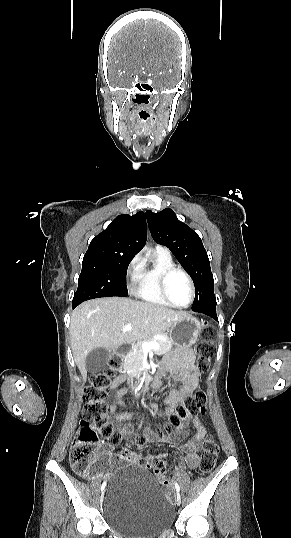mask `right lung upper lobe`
<instances>
[{
  "mask_svg": "<svg viewBox=\"0 0 291 538\" xmlns=\"http://www.w3.org/2000/svg\"><path fill=\"white\" fill-rule=\"evenodd\" d=\"M147 240L146 217L140 211L133 216L119 215L106 230L95 236L86 253H113L135 256Z\"/></svg>",
  "mask_w": 291,
  "mask_h": 538,
  "instance_id": "right-lung-upper-lobe-1",
  "label": "right lung upper lobe"
}]
</instances>
